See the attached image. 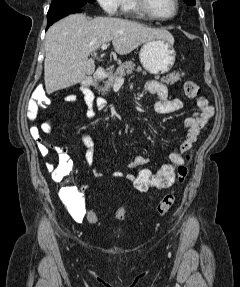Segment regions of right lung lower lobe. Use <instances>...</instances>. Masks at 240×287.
Returning <instances> with one entry per match:
<instances>
[{"mask_svg":"<svg viewBox=\"0 0 240 287\" xmlns=\"http://www.w3.org/2000/svg\"><path fill=\"white\" fill-rule=\"evenodd\" d=\"M82 12L81 8H76V9H72V10H68V11H64V12H59L56 13L50 17L47 18V28L50 27L53 23H55L56 21H58L59 19L69 15V14H73V13H80Z\"/></svg>","mask_w":240,"mask_h":287,"instance_id":"right-lung-lower-lobe-1","label":"right lung lower lobe"}]
</instances>
